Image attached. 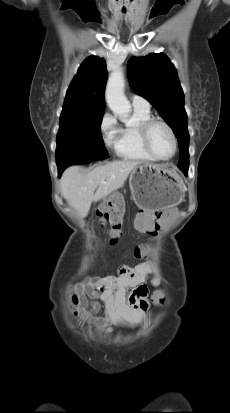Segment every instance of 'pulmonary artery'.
<instances>
[{"label":"pulmonary artery","mask_w":230,"mask_h":413,"mask_svg":"<svg viewBox=\"0 0 230 413\" xmlns=\"http://www.w3.org/2000/svg\"><path fill=\"white\" fill-rule=\"evenodd\" d=\"M131 101H132V106L134 108L145 109V110H148L150 108L149 102L141 96L133 95L131 98Z\"/></svg>","instance_id":"obj_1"}]
</instances>
